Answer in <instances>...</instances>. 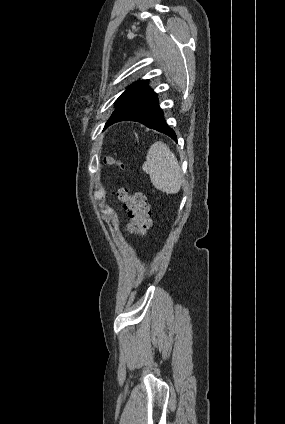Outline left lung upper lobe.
<instances>
[{"instance_id": "5c2ea615", "label": "left lung upper lobe", "mask_w": 285, "mask_h": 424, "mask_svg": "<svg viewBox=\"0 0 285 424\" xmlns=\"http://www.w3.org/2000/svg\"><path fill=\"white\" fill-rule=\"evenodd\" d=\"M148 84L147 80H139L134 82L131 86H129L123 94L116 100V105L120 104L123 100L134 94L135 92L141 90L142 88L146 87Z\"/></svg>"}]
</instances>
